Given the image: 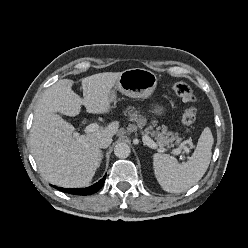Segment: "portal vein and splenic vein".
<instances>
[{
	"mask_svg": "<svg viewBox=\"0 0 248 248\" xmlns=\"http://www.w3.org/2000/svg\"><path fill=\"white\" fill-rule=\"evenodd\" d=\"M99 128H100V126L97 123H91L88 126H86L84 131H85V133H91V132H95V131L99 130ZM143 141L147 146H149L153 149L157 148V144L149 136H147V135L143 136ZM182 148H183V145H181L179 148L173 149L172 153L175 155H179L182 152ZM185 152L188 153L189 150L187 148H185ZM180 160H183V156H180Z\"/></svg>",
	"mask_w": 248,
	"mask_h": 248,
	"instance_id": "18ae733b",
	"label": "portal vein and splenic vein"
}]
</instances>
